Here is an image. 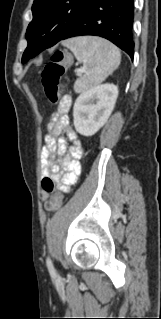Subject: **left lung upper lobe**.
<instances>
[{
  "mask_svg": "<svg viewBox=\"0 0 161 319\" xmlns=\"http://www.w3.org/2000/svg\"><path fill=\"white\" fill-rule=\"evenodd\" d=\"M94 0H34L33 20L27 32V41H33L22 57L26 62L34 46L37 54L59 42Z\"/></svg>",
  "mask_w": 161,
  "mask_h": 319,
  "instance_id": "5c2ea615",
  "label": "left lung upper lobe"
}]
</instances>
